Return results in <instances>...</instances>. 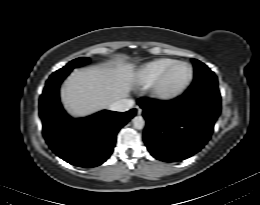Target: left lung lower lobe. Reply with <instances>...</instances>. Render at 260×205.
I'll use <instances>...</instances> for the list:
<instances>
[{"instance_id":"left-lung-lower-lobe-1","label":"left lung lower lobe","mask_w":260,"mask_h":205,"mask_svg":"<svg viewBox=\"0 0 260 205\" xmlns=\"http://www.w3.org/2000/svg\"><path fill=\"white\" fill-rule=\"evenodd\" d=\"M220 103L209 95L189 93L172 101L139 99L147 121L144 142L150 153L165 162L197 153L211 137Z\"/></svg>"}]
</instances>
